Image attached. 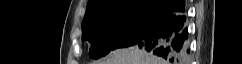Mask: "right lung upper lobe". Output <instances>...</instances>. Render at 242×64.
Returning a JSON list of instances; mask_svg holds the SVG:
<instances>
[{"instance_id": "right-lung-upper-lobe-1", "label": "right lung upper lobe", "mask_w": 242, "mask_h": 64, "mask_svg": "<svg viewBox=\"0 0 242 64\" xmlns=\"http://www.w3.org/2000/svg\"><path fill=\"white\" fill-rule=\"evenodd\" d=\"M174 0H89L82 24L115 12L135 9H148L160 12L166 11Z\"/></svg>"}]
</instances>
